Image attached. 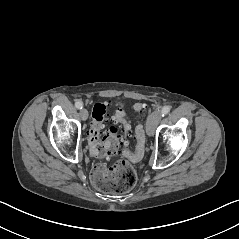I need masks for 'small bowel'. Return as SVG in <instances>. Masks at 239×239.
<instances>
[{
	"mask_svg": "<svg viewBox=\"0 0 239 239\" xmlns=\"http://www.w3.org/2000/svg\"><path fill=\"white\" fill-rule=\"evenodd\" d=\"M120 112H124L122 109H118L116 114L120 113Z\"/></svg>",
	"mask_w": 239,
	"mask_h": 239,
	"instance_id": "c3829d8e",
	"label": "small bowel"
}]
</instances>
